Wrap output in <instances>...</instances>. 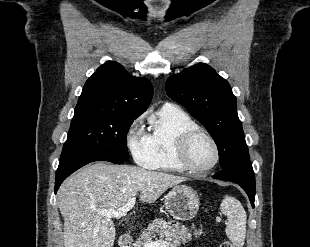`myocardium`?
<instances>
[{"label": "myocardium", "mask_w": 310, "mask_h": 247, "mask_svg": "<svg viewBox=\"0 0 310 247\" xmlns=\"http://www.w3.org/2000/svg\"><path fill=\"white\" fill-rule=\"evenodd\" d=\"M199 136H203L207 138L212 144L215 152L214 161L207 167L204 168H195L191 165L189 159V151L192 142ZM177 158L179 163L181 164L183 170L189 172L193 175H202L209 171H211L220 161V149L218 143L213 138L211 134L201 128H192L184 131L178 139L177 144Z\"/></svg>", "instance_id": "obj_1"}]
</instances>
